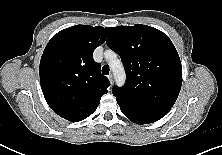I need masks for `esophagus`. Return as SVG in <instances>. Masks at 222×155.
<instances>
[{"instance_id": "1", "label": "esophagus", "mask_w": 222, "mask_h": 155, "mask_svg": "<svg viewBox=\"0 0 222 155\" xmlns=\"http://www.w3.org/2000/svg\"><path fill=\"white\" fill-rule=\"evenodd\" d=\"M108 79H109V81H110V83H111V85L113 84V75L111 74V75H109L108 76Z\"/></svg>"}]
</instances>
